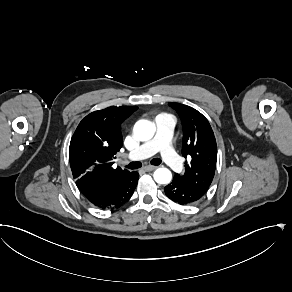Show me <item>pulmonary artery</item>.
Returning a JSON list of instances; mask_svg holds the SVG:
<instances>
[{
  "instance_id": "pulmonary-artery-1",
  "label": "pulmonary artery",
  "mask_w": 292,
  "mask_h": 292,
  "mask_svg": "<svg viewBox=\"0 0 292 292\" xmlns=\"http://www.w3.org/2000/svg\"><path fill=\"white\" fill-rule=\"evenodd\" d=\"M157 122L159 128L156 136L144 146L134 148L131 156L136 160H141L151 157L160 150L161 157L168 166L175 171H180L184 167V162L175 153V147L171 138L175 120L170 114L161 113L157 117Z\"/></svg>"
}]
</instances>
